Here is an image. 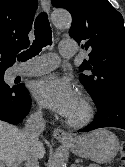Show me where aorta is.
<instances>
[{
  "label": "aorta",
  "mask_w": 125,
  "mask_h": 167,
  "mask_svg": "<svg viewBox=\"0 0 125 167\" xmlns=\"http://www.w3.org/2000/svg\"><path fill=\"white\" fill-rule=\"evenodd\" d=\"M52 21L58 28H64L71 23V16L68 12L55 11L52 14ZM67 155L64 152H59L53 160L51 167H65Z\"/></svg>",
  "instance_id": "1"
}]
</instances>
